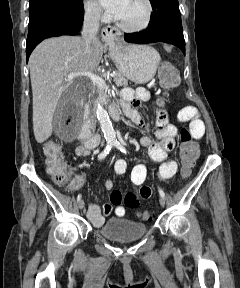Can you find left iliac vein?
Wrapping results in <instances>:
<instances>
[{
    "label": "left iliac vein",
    "instance_id": "obj_1",
    "mask_svg": "<svg viewBox=\"0 0 240 288\" xmlns=\"http://www.w3.org/2000/svg\"><path fill=\"white\" fill-rule=\"evenodd\" d=\"M159 202H160V205H161L162 207L165 206V199H164L163 197H160V198H159Z\"/></svg>",
    "mask_w": 240,
    "mask_h": 288
}]
</instances>
